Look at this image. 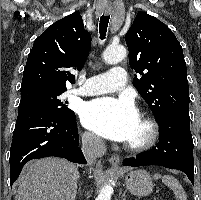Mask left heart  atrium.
<instances>
[{"mask_svg":"<svg viewBox=\"0 0 201 200\" xmlns=\"http://www.w3.org/2000/svg\"><path fill=\"white\" fill-rule=\"evenodd\" d=\"M139 118L129 99L98 98L86 103L81 110L85 127L98 135L118 142H127Z\"/></svg>","mask_w":201,"mask_h":200,"instance_id":"1","label":"left heart atrium"}]
</instances>
